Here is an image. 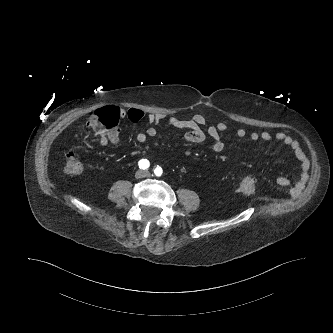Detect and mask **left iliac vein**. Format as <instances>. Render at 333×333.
<instances>
[{
    "label": "left iliac vein",
    "mask_w": 333,
    "mask_h": 333,
    "mask_svg": "<svg viewBox=\"0 0 333 333\" xmlns=\"http://www.w3.org/2000/svg\"><path fill=\"white\" fill-rule=\"evenodd\" d=\"M145 176H146V177H150V176H151L150 172L145 171Z\"/></svg>",
    "instance_id": "left-iliac-vein-1"
}]
</instances>
